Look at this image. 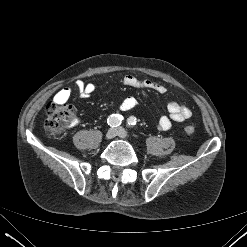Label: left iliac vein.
<instances>
[{"label": "left iliac vein", "mask_w": 247, "mask_h": 247, "mask_svg": "<svg viewBox=\"0 0 247 247\" xmlns=\"http://www.w3.org/2000/svg\"><path fill=\"white\" fill-rule=\"evenodd\" d=\"M116 135L123 139L127 138V132L121 127L116 129Z\"/></svg>", "instance_id": "obj_1"}]
</instances>
